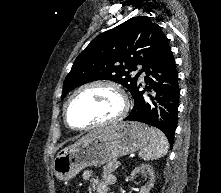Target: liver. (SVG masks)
Segmentation results:
<instances>
[{"mask_svg": "<svg viewBox=\"0 0 221 193\" xmlns=\"http://www.w3.org/2000/svg\"><path fill=\"white\" fill-rule=\"evenodd\" d=\"M105 130H107V129H105ZM105 130H98V131H94V132H91L90 134H88L87 136H91V135H94V134H97V133H100V132H103V131H105ZM85 137H83L82 139H84ZM81 139V140H82Z\"/></svg>", "mask_w": 221, "mask_h": 193, "instance_id": "obj_1", "label": "liver"}]
</instances>
